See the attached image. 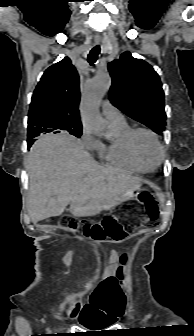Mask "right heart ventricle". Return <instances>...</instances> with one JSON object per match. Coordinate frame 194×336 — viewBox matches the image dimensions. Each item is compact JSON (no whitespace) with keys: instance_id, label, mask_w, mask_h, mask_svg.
I'll return each mask as SVG.
<instances>
[{"instance_id":"e07e8e85","label":"right heart ventricle","mask_w":194,"mask_h":336,"mask_svg":"<svg viewBox=\"0 0 194 336\" xmlns=\"http://www.w3.org/2000/svg\"><path fill=\"white\" fill-rule=\"evenodd\" d=\"M117 137L107 144L101 143L97 149L98 156L104 162L131 173L145 174L152 169L140 164L132 155L127 144V134L131 127L126 123L112 124Z\"/></svg>"}]
</instances>
